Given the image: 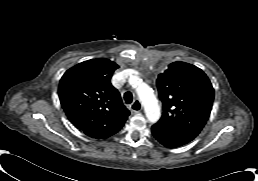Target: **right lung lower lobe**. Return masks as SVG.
Masks as SVG:
<instances>
[{"mask_svg":"<svg viewBox=\"0 0 258 181\" xmlns=\"http://www.w3.org/2000/svg\"><path fill=\"white\" fill-rule=\"evenodd\" d=\"M123 124H119V125H113L105 130H99V131H95L91 134H88V136L93 137V138H107L115 133H117L121 128H122Z\"/></svg>","mask_w":258,"mask_h":181,"instance_id":"right-lung-lower-lobe-1","label":"right lung lower lobe"}]
</instances>
